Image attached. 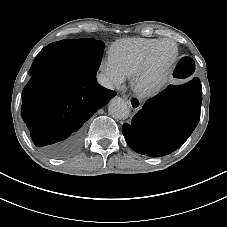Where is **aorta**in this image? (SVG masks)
I'll return each mask as SVG.
<instances>
[{"instance_id":"obj_1","label":"aorta","mask_w":227,"mask_h":227,"mask_svg":"<svg viewBox=\"0 0 227 227\" xmlns=\"http://www.w3.org/2000/svg\"><path fill=\"white\" fill-rule=\"evenodd\" d=\"M108 112L115 119H126L130 114V109L124 99L115 97L108 104Z\"/></svg>"}]
</instances>
